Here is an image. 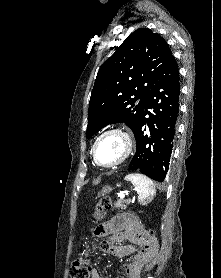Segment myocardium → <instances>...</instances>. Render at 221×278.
Masks as SVG:
<instances>
[{
    "instance_id": "f54148a6",
    "label": "myocardium",
    "mask_w": 221,
    "mask_h": 278,
    "mask_svg": "<svg viewBox=\"0 0 221 278\" xmlns=\"http://www.w3.org/2000/svg\"><path fill=\"white\" fill-rule=\"evenodd\" d=\"M108 134H118V135H120L124 140L125 150H124V153H123L122 157L118 161H116L115 163L110 164V165H103L97 159L96 147H97L98 142L104 136H106ZM132 150H133V140H132L131 135L124 129L114 127V128H110V129H107V130L103 131L101 134H99L97 136V138L95 139V141L92 145V157H93V160H94V162L97 166H99L101 168H104V169H113V168L118 167L122 163H124L130 157V155L132 153Z\"/></svg>"
}]
</instances>
